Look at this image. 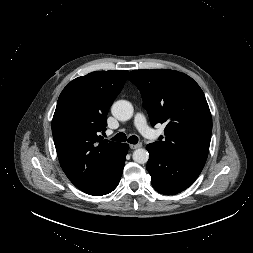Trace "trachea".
I'll return each instance as SVG.
<instances>
[{
    "label": "trachea",
    "mask_w": 253,
    "mask_h": 253,
    "mask_svg": "<svg viewBox=\"0 0 253 253\" xmlns=\"http://www.w3.org/2000/svg\"><path fill=\"white\" fill-rule=\"evenodd\" d=\"M113 141H118V142H126L128 141V143H131V144H137L138 143V137L133 135V136H130L128 139H127V136L124 134V133H118L117 135H115L113 138H112Z\"/></svg>",
    "instance_id": "trachea-1"
}]
</instances>
